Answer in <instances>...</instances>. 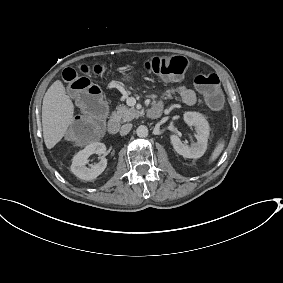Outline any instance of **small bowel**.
I'll list each match as a JSON object with an SVG mask.
<instances>
[{"label": "small bowel", "mask_w": 283, "mask_h": 283, "mask_svg": "<svg viewBox=\"0 0 283 283\" xmlns=\"http://www.w3.org/2000/svg\"><path fill=\"white\" fill-rule=\"evenodd\" d=\"M175 94H177L183 101V103L187 105H194L197 101L195 92L190 87L184 84L168 89L165 92V95L168 98H172ZM158 105H160V103H158Z\"/></svg>", "instance_id": "1"}]
</instances>
